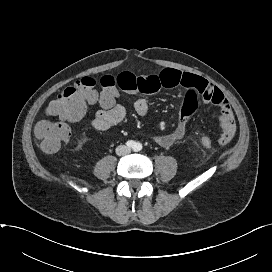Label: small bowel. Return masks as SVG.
<instances>
[{"mask_svg":"<svg viewBox=\"0 0 272 272\" xmlns=\"http://www.w3.org/2000/svg\"><path fill=\"white\" fill-rule=\"evenodd\" d=\"M117 86L127 93L142 92L153 94L161 89L183 87L185 95L181 104L179 121L173 131L157 135L154 141L161 147L169 148L181 140L187 130L190 117L197 110L200 101L210 103L219 108L220 135L218 144L227 145L235 135L236 123L228 100L216 86L204 78L175 69H165L159 73L136 75L125 71L116 77ZM134 109L140 116H145L151 109L146 99H138ZM126 116V110L121 104L98 110L92 120L96 130L105 131L121 122Z\"/></svg>","mask_w":272,"mask_h":272,"instance_id":"small-bowel-1","label":"small bowel"}]
</instances>
